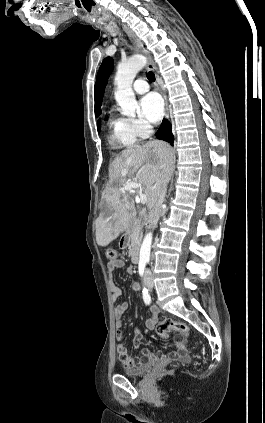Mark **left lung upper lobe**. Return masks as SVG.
<instances>
[{
    "instance_id": "left-lung-upper-lobe-1",
    "label": "left lung upper lobe",
    "mask_w": 265,
    "mask_h": 423,
    "mask_svg": "<svg viewBox=\"0 0 265 423\" xmlns=\"http://www.w3.org/2000/svg\"><path fill=\"white\" fill-rule=\"evenodd\" d=\"M113 69V60L110 57H107L103 60L98 74H97V81H96V87L97 91L100 97V100L102 101V97L104 94V89L107 83V79ZM97 93V92H96Z\"/></svg>"
}]
</instances>
